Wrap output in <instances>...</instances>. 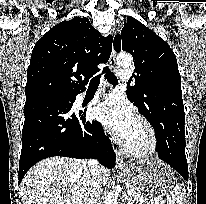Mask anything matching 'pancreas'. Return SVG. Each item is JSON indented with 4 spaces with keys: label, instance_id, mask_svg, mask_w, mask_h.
Returning <instances> with one entry per match:
<instances>
[{
    "label": "pancreas",
    "instance_id": "obj_1",
    "mask_svg": "<svg viewBox=\"0 0 206 204\" xmlns=\"http://www.w3.org/2000/svg\"><path fill=\"white\" fill-rule=\"evenodd\" d=\"M133 190L135 195L128 198L129 204H144L142 196L137 193L134 189Z\"/></svg>",
    "mask_w": 206,
    "mask_h": 204
}]
</instances>
